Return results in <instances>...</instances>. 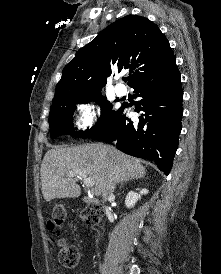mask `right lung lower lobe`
I'll return each mask as SVG.
<instances>
[{
    "label": "right lung lower lobe",
    "mask_w": 221,
    "mask_h": 274,
    "mask_svg": "<svg viewBox=\"0 0 221 274\" xmlns=\"http://www.w3.org/2000/svg\"><path fill=\"white\" fill-rule=\"evenodd\" d=\"M131 87L135 97L141 98L135 103V111L141 112L139 120L122 115L127 107L123 105L113 120L92 138L113 142L126 154L153 161L168 175L178 148L183 110L176 58Z\"/></svg>",
    "instance_id": "98d812e1"
}]
</instances>
